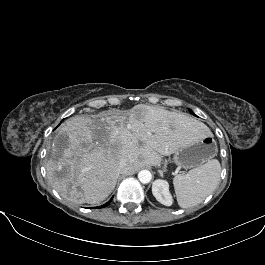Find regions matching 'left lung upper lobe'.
I'll return each mask as SVG.
<instances>
[{"label":"left lung upper lobe","mask_w":265,"mask_h":265,"mask_svg":"<svg viewBox=\"0 0 265 265\" xmlns=\"http://www.w3.org/2000/svg\"><path fill=\"white\" fill-rule=\"evenodd\" d=\"M189 111H190L191 114L195 115L192 110L189 109Z\"/></svg>","instance_id":"obj_1"}]
</instances>
